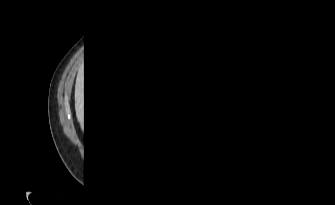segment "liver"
Here are the masks:
<instances>
[{"instance_id": "obj_1", "label": "liver", "mask_w": 335, "mask_h": 205, "mask_svg": "<svg viewBox=\"0 0 335 205\" xmlns=\"http://www.w3.org/2000/svg\"><path fill=\"white\" fill-rule=\"evenodd\" d=\"M75 111L81 129H84V65L78 69L75 83Z\"/></svg>"}]
</instances>
